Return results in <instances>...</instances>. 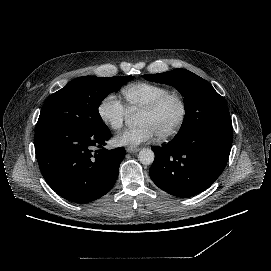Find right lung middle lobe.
Masks as SVG:
<instances>
[{
	"mask_svg": "<svg viewBox=\"0 0 271 271\" xmlns=\"http://www.w3.org/2000/svg\"><path fill=\"white\" fill-rule=\"evenodd\" d=\"M132 76L79 77L45 101L35 131L51 126L94 130L103 127L98 107L103 99Z\"/></svg>",
	"mask_w": 271,
	"mask_h": 271,
	"instance_id": "right-lung-middle-lobe-1",
	"label": "right lung middle lobe"
}]
</instances>
